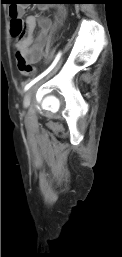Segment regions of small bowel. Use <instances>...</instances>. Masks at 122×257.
<instances>
[{"mask_svg":"<svg viewBox=\"0 0 122 257\" xmlns=\"http://www.w3.org/2000/svg\"><path fill=\"white\" fill-rule=\"evenodd\" d=\"M42 10H45L43 7ZM21 13L22 10H19ZM63 11L59 12V18L63 16ZM26 30L24 35L17 39L14 46L29 63L38 62L45 48L49 42V32L56 26V23L52 22L45 16H33L29 15L25 19ZM39 26V33L37 37H34V30Z\"/></svg>","mask_w":122,"mask_h":257,"instance_id":"obj_1","label":"small bowel"}]
</instances>
